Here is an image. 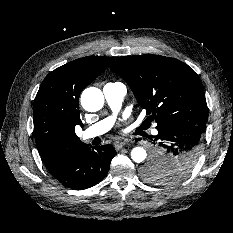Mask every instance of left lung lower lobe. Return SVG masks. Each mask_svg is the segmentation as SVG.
<instances>
[{
  "label": "left lung lower lobe",
  "instance_id": "obj_1",
  "mask_svg": "<svg viewBox=\"0 0 233 233\" xmlns=\"http://www.w3.org/2000/svg\"><path fill=\"white\" fill-rule=\"evenodd\" d=\"M205 129L206 126L186 124L157 129L158 135L150 137L157 145L151 161H158L161 166L168 167L195 164L201 153Z\"/></svg>",
  "mask_w": 233,
  "mask_h": 233
}]
</instances>
